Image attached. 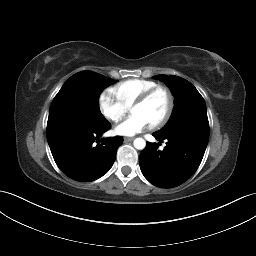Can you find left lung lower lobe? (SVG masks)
I'll return each mask as SVG.
<instances>
[{"label":"left lung lower lobe","instance_id":"1","mask_svg":"<svg viewBox=\"0 0 256 256\" xmlns=\"http://www.w3.org/2000/svg\"><path fill=\"white\" fill-rule=\"evenodd\" d=\"M158 141L166 140L162 151L156 143L148 142L139 157L140 168L145 178L160 188L179 186L188 180L199 167L208 140L190 133L170 136L152 134Z\"/></svg>","mask_w":256,"mask_h":256}]
</instances>
